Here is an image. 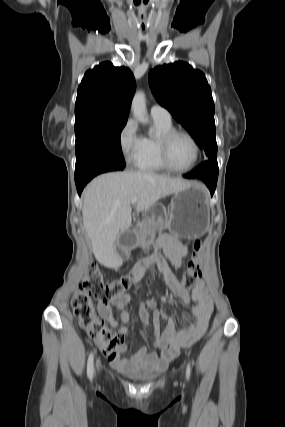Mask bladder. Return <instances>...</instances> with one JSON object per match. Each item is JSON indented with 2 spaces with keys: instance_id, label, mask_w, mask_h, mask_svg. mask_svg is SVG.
<instances>
[{
  "instance_id": "1",
  "label": "bladder",
  "mask_w": 285,
  "mask_h": 427,
  "mask_svg": "<svg viewBox=\"0 0 285 427\" xmlns=\"http://www.w3.org/2000/svg\"><path fill=\"white\" fill-rule=\"evenodd\" d=\"M129 376L136 382L145 383L155 379L158 376V373L153 372V373H147V374H141V375L129 374Z\"/></svg>"
}]
</instances>
